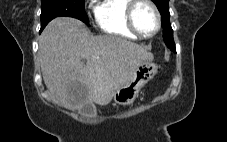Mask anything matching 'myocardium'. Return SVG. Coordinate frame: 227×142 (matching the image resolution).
<instances>
[{"instance_id":"myocardium-1","label":"myocardium","mask_w":227,"mask_h":142,"mask_svg":"<svg viewBox=\"0 0 227 142\" xmlns=\"http://www.w3.org/2000/svg\"><path fill=\"white\" fill-rule=\"evenodd\" d=\"M141 4H147L148 6H150L156 15V21H157L156 29L153 33H151L149 35L143 34L137 28L136 23H135V12ZM125 17H126L127 26L130 29V31L133 34H135L137 37L142 38V39L153 38L154 36H156L159 33L161 26H162L161 13H160L157 5L152 0H131L130 3L127 5Z\"/></svg>"}]
</instances>
